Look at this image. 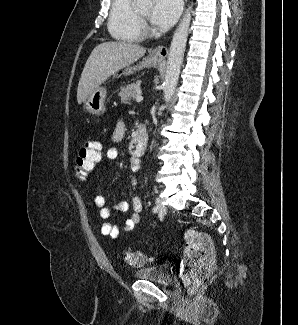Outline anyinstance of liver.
Instances as JSON below:
<instances>
[{
  "instance_id": "liver-1",
  "label": "liver",
  "mask_w": 298,
  "mask_h": 325,
  "mask_svg": "<svg viewBox=\"0 0 298 325\" xmlns=\"http://www.w3.org/2000/svg\"><path fill=\"white\" fill-rule=\"evenodd\" d=\"M145 46L133 42H101L89 54L77 86V102L82 104L112 74L144 56Z\"/></svg>"
}]
</instances>
